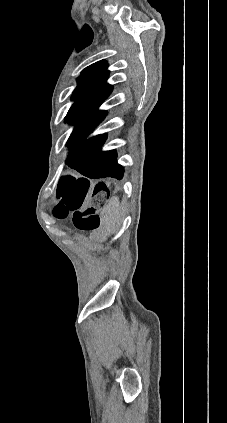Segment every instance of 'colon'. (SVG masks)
I'll return each mask as SVG.
<instances>
[{
	"label": "colon",
	"instance_id": "obj_1",
	"mask_svg": "<svg viewBox=\"0 0 227 423\" xmlns=\"http://www.w3.org/2000/svg\"><path fill=\"white\" fill-rule=\"evenodd\" d=\"M87 189V182H61L57 188L59 203L55 214L64 217L73 213L76 227L91 231L99 227L98 212L108 196V189L104 184L96 185L89 205L81 212Z\"/></svg>",
	"mask_w": 227,
	"mask_h": 423
}]
</instances>
